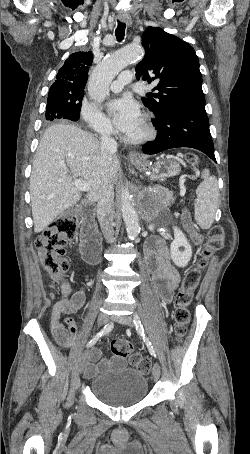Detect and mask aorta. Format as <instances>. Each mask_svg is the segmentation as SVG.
<instances>
[{"instance_id":"aorta-1","label":"aorta","mask_w":250,"mask_h":454,"mask_svg":"<svg viewBox=\"0 0 250 454\" xmlns=\"http://www.w3.org/2000/svg\"><path fill=\"white\" fill-rule=\"evenodd\" d=\"M143 54L144 50L140 45L130 44L106 56L90 75L88 83L90 98L97 103L103 102L109 94V85L116 75ZM121 212L128 238L136 239L140 233V224L127 188H123L121 192Z\"/></svg>"}]
</instances>
